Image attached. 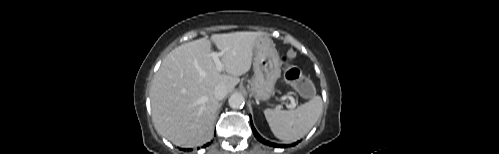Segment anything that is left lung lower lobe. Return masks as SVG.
Wrapping results in <instances>:
<instances>
[{"label": "left lung lower lobe", "instance_id": "obj_1", "mask_svg": "<svg viewBox=\"0 0 499 154\" xmlns=\"http://www.w3.org/2000/svg\"><path fill=\"white\" fill-rule=\"evenodd\" d=\"M251 127H252V130H253V133H254L255 137H256L259 141H261L262 143H264V144H266V145H269V146H273V147H281V148L286 147L285 145L271 143V142L266 141L265 139H263V138H262V137H261V136L257 133V131L255 130V128H254V126H253V124H252V121H251ZM295 144H297V142H296V143H294V144H292V146H293V145H295Z\"/></svg>", "mask_w": 499, "mask_h": 154}]
</instances>
